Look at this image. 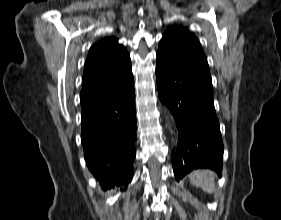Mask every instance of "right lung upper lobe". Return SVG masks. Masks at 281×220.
<instances>
[{
    "label": "right lung upper lobe",
    "instance_id": "cb5924a9",
    "mask_svg": "<svg viewBox=\"0 0 281 220\" xmlns=\"http://www.w3.org/2000/svg\"><path fill=\"white\" fill-rule=\"evenodd\" d=\"M133 79L130 56L115 37L96 42L85 63L80 98L118 89Z\"/></svg>",
    "mask_w": 281,
    "mask_h": 220
}]
</instances>
